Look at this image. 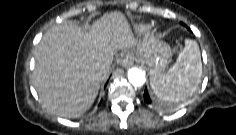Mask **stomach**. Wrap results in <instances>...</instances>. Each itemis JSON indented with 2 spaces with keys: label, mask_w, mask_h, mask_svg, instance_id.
<instances>
[{
  "label": "stomach",
  "mask_w": 236,
  "mask_h": 135,
  "mask_svg": "<svg viewBox=\"0 0 236 135\" xmlns=\"http://www.w3.org/2000/svg\"><path fill=\"white\" fill-rule=\"evenodd\" d=\"M139 59L150 69V77L162 70L171 60L170 46L156 38H150L139 50Z\"/></svg>",
  "instance_id": "1"
}]
</instances>
